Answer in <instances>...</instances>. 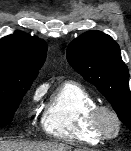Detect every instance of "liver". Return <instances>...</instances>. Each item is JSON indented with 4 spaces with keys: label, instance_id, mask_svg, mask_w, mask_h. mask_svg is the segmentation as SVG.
Returning a JSON list of instances; mask_svg holds the SVG:
<instances>
[{
    "label": "liver",
    "instance_id": "1",
    "mask_svg": "<svg viewBox=\"0 0 131 151\" xmlns=\"http://www.w3.org/2000/svg\"><path fill=\"white\" fill-rule=\"evenodd\" d=\"M71 147L62 143H26L0 141V151H70Z\"/></svg>",
    "mask_w": 131,
    "mask_h": 151
}]
</instances>
